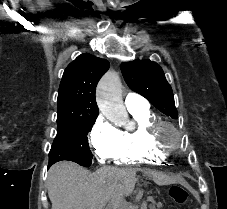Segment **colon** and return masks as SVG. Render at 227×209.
<instances>
[{"label": "colon", "mask_w": 227, "mask_h": 209, "mask_svg": "<svg viewBox=\"0 0 227 209\" xmlns=\"http://www.w3.org/2000/svg\"><path fill=\"white\" fill-rule=\"evenodd\" d=\"M171 197L174 200V202L178 204H184L187 202L189 193L184 187L176 185L171 188Z\"/></svg>", "instance_id": "1"}]
</instances>
